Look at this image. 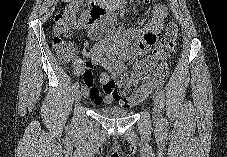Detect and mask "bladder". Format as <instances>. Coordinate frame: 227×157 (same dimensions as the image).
Returning <instances> with one entry per match:
<instances>
[{
  "mask_svg": "<svg viewBox=\"0 0 227 157\" xmlns=\"http://www.w3.org/2000/svg\"><path fill=\"white\" fill-rule=\"evenodd\" d=\"M96 112L104 118L118 119L131 116L134 113V110L118 106H108L97 108Z\"/></svg>",
  "mask_w": 227,
  "mask_h": 157,
  "instance_id": "31cf9c89",
  "label": "bladder"
}]
</instances>
